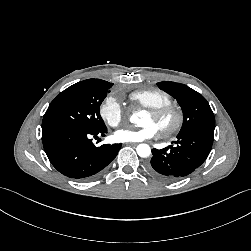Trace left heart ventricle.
Returning <instances> with one entry per match:
<instances>
[{
	"label": "left heart ventricle",
	"instance_id": "b2bd125f",
	"mask_svg": "<svg viewBox=\"0 0 251 251\" xmlns=\"http://www.w3.org/2000/svg\"><path fill=\"white\" fill-rule=\"evenodd\" d=\"M171 121H172L171 118H165L163 120H156L149 113H147L144 116L142 123L144 125L153 124L159 130L162 127L168 126L171 123Z\"/></svg>",
	"mask_w": 251,
	"mask_h": 251
}]
</instances>
